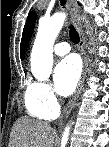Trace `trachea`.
Instances as JSON below:
<instances>
[{
  "label": "trachea",
  "instance_id": "3493384b",
  "mask_svg": "<svg viewBox=\"0 0 109 147\" xmlns=\"http://www.w3.org/2000/svg\"><path fill=\"white\" fill-rule=\"evenodd\" d=\"M65 3H66L65 0H61L62 6H64ZM69 37H70V40L75 44L79 43L80 41L79 35L73 25L69 26Z\"/></svg>",
  "mask_w": 109,
  "mask_h": 147
}]
</instances>
